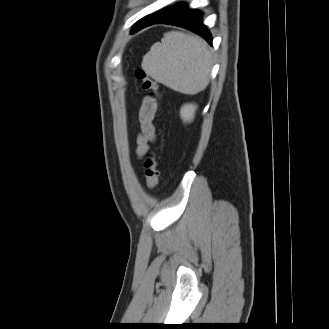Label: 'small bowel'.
I'll return each instance as SVG.
<instances>
[{
	"mask_svg": "<svg viewBox=\"0 0 329 329\" xmlns=\"http://www.w3.org/2000/svg\"><path fill=\"white\" fill-rule=\"evenodd\" d=\"M156 105L153 101L146 97L138 112L140 123V133L137 137L136 155L142 158L149 148V143L155 138V128L153 120L156 114Z\"/></svg>",
	"mask_w": 329,
	"mask_h": 329,
	"instance_id": "c3829d8e",
	"label": "small bowel"
}]
</instances>
